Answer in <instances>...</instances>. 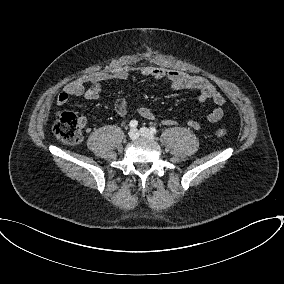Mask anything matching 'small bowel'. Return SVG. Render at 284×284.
Masks as SVG:
<instances>
[{
  "instance_id": "c3829d8e",
  "label": "small bowel",
  "mask_w": 284,
  "mask_h": 284,
  "mask_svg": "<svg viewBox=\"0 0 284 284\" xmlns=\"http://www.w3.org/2000/svg\"><path fill=\"white\" fill-rule=\"evenodd\" d=\"M139 72L145 77L167 80L174 90L198 91L197 98L200 103L211 101L214 104L213 110L206 116L208 123H215L224 116L225 98L206 78L178 70H167L153 66H142ZM128 78L129 69L125 67L113 71H98L84 74L63 87L57 96V105H65L72 96H84L88 100H96L102 95L103 82L109 79L127 80ZM115 109L119 116L124 117L127 114L126 100L119 98L115 103ZM138 113L145 119H155L153 112L149 108L141 107L138 109ZM85 123L86 120L81 118L82 126ZM162 123L168 126L177 124L173 119H164ZM188 125L194 130H198L201 127V123L196 119L189 120Z\"/></svg>"
}]
</instances>
